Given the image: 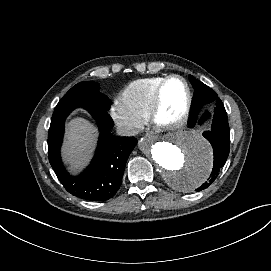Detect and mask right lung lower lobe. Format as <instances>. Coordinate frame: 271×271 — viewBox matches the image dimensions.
<instances>
[{
    "instance_id": "obj_1",
    "label": "right lung lower lobe",
    "mask_w": 271,
    "mask_h": 271,
    "mask_svg": "<svg viewBox=\"0 0 271 271\" xmlns=\"http://www.w3.org/2000/svg\"><path fill=\"white\" fill-rule=\"evenodd\" d=\"M88 109L97 120L100 136L91 164L79 176L67 173L60 157L64 122L75 108ZM114 123L107 110L92 105L68 106L54 111L48 132L49 162L64 188L72 195L89 200L112 198L120 188L126 161L137 144L134 137L113 136Z\"/></svg>"
}]
</instances>
